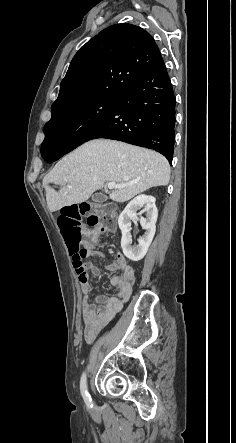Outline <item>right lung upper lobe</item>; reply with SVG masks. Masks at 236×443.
Returning a JSON list of instances; mask_svg holds the SVG:
<instances>
[{
	"label": "right lung upper lobe",
	"instance_id": "cb5924a9",
	"mask_svg": "<svg viewBox=\"0 0 236 443\" xmlns=\"http://www.w3.org/2000/svg\"><path fill=\"white\" fill-rule=\"evenodd\" d=\"M160 57L152 36L138 26L121 23L102 30L72 59L52 115L97 95L118 97Z\"/></svg>",
	"mask_w": 236,
	"mask_h": 443
}]
</instances>
